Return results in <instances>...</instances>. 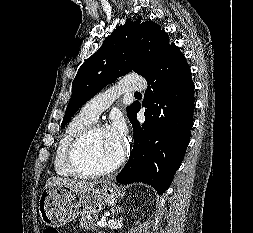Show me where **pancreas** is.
<instances>
[{
	"instance_id": "cf45deb5",
	"label": "pancreas",
	"mask_w": 253,
	"mask_h": 233,
	"mask_svg": "<svg viewBox=\"0 0 253 233\" xmlns=\"http://www.w3.org/2000/svg\"><path fill=\"white\" fill-rule=\"evenodd\" d=\"M96 219L91 217L90 215H82V218L80 220V228H82L84 231H98L99 227L95 222Z\"/></svg>"
}]
</instances>
